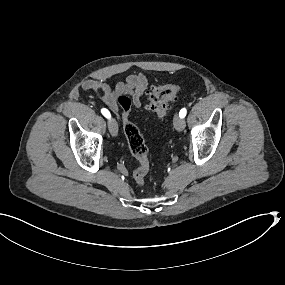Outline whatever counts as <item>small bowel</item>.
<instances>
[{
	"label": "small bowel",
	"mask_w": 285,
	"mask_h": 285,
	"mask_svg": "<svg viewBox=\"0 0 285 285\" xmlns=\"http://www.w3.org/2000/svg\"><path fill=\"white\" fill-rule=\"evenodd\" d=\"M148 80L141 73H134L127 76L125 82H118L113 87L108 84L88 79L82 83V88L96 94L113 111H118L117 98L120 94H131L134 98V105L140 107L141 98L148 89Z\"/></svg>",
	"instance_id": "small-bowel-1"
}]
</instances>
